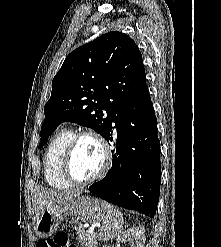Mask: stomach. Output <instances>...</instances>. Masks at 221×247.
Instances as JSON below:
<instances>
[{"label": "stomach", "mask_w": 221, "mask_h": 247, "mask_svg": "<svg viewBox=\"0 0 221 247\" xmlns=\"http://www.w3.org/2000/svg\"><path fill=\"white\" fill-rule=\"evenodd\" d=\"M107 203L96 198L79 195L73 200L54 208H43L35 219L34 229L39 237L52 235L59 227L60 222L72 217L79 222H99L107 215Z\"/></svg>", "instance_id": "1"}]
</instances>
